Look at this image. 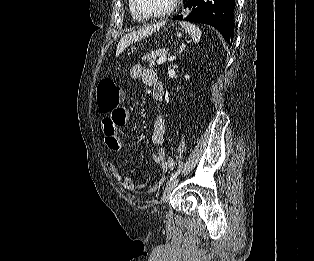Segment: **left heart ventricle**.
<instances>
[{
  "label": "left heart ventricle",
  "mask_w": 314,
  "mask_h": 261,
  "mask_svg": "<svg viewBox=\"0 0 314 261\" xmlns=\"http://www.w3.org/2000/svg\"><path fill=\"white\" fill-rule=\"evenodd\" d=\"M172 0H138V5L146 13H156L166 9Z\"/></svg>",
  "instance_id": "1"
}]
</instances>
